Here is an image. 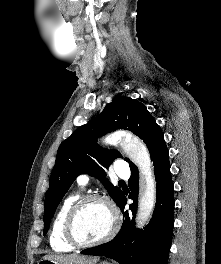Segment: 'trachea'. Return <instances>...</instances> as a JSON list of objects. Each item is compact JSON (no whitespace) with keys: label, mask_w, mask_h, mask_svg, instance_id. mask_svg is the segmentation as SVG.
<instances>
[{"label":"trachea","mask_w":221,"mask_h":264,"mask_svg":"<svg viewBox=\"0 0 221 264\" xmlns=\"http://www.w3.org/2000/svg\"><path fill=\"white\" fill-rule=\"evenodd\" d=\"M119 183H124V181L123 180H120Z\"/></svg>","instance_id":"trachea-1"}]
</instances>
